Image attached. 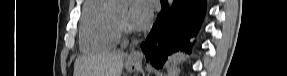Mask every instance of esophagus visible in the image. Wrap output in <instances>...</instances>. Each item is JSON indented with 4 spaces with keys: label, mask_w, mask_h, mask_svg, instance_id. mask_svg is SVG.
Returning a JSON list of instances; mask_svg holds the SVG:
<instances>
[{
    "label": "esophagus",
    "mask_w": 287,
    "mask_h": 76,
    "mask_svg": "<svg viewBox=\"0 0 287 76\" xmlns=\"http://www.w3.org/2000/svg\"><path fill=\"white\" fill-rule=\"evenodd\" d=\"M128 58L134 61H142L143 55L139 51H132L129 54Z\"/></svg>",
    "instance_id": "1"
}]
</instances>
